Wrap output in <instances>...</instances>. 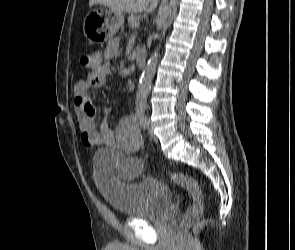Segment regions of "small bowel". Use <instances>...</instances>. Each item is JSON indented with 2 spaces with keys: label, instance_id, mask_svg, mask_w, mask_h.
I'll return each mask as SVG.
<instances>
[{
  "label": "small bowel",
  "instance_id": "small-bowel-1",
  "mask_svg": "<svg viewBox=\"0 0 295 250\" xmlns=\"http://www.w3.org/2000/svg\"><path fill=\"white\" fill-rule=\"evenodd\" d=\"M118 44L110 41L103 51L92 52L93 62L89 66L90 73L84 80L74 86V103L78 115V124L82 142L86 147L110 146L118 148L129 155L122 159L119 175L130 178L142 171L143 163L133 154L140 144V132L132 117L123 119L112 130L105 119L96 120V108L90 92L104 85L111 74L110 62L117 56ZM105 114L108 107H103Z\"/></svg>",
  "mask_w": 295,
  "mask_h": 250
}]
</instances>
